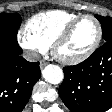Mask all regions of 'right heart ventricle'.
<instances>
[{
  "mask_svg": "<svg viewBox=\"0 0 112 112\" xmlns=\"http://www.w3.org/2000/svg\"><path fill=\"white\" fill-rule=\"evenodd\" d=\"M80 14L66 10H50L33 16L27 23L28 29L41 41L50 46L62 29Z\"/></svg>",
  "mask_w": 112,
  "mask_h": 112,
  "instance_id": "right-heart-ventricle-1",
  "label": "right heart ventricle"
}]
</instances>
